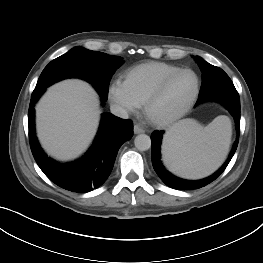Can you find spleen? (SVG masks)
Returning <instances> with one entry per match:
<instances>
[{
  "mask_svg": "<svg viewBox=\"0 0 263 263\" xmlns=\"http://www.w3.org/2000/svg\"><path fill=\"white\" fill-rule=\"evenodd\" d=\"M231 122L218 116L206 127L183 120L165 134L163 162L169 171L186 179L212 174L225 160L231 141Z\"/></svg>",
  "mask_w": 263,
  "mask_h": 263,
  "instance_id": "3e777b00",
  "label": "spleen"
}]
</instances>
